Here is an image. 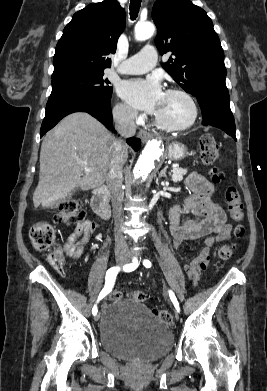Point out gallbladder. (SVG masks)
<instances>
[{"label":"gallbladder","instance_id":"1","mask_svg":"<svg viewBox=\"0 0 267 391\" xmlns=\"http://www.w3.org/2000/svg\"><path fill=\"white\" fill-rule=\"evenodd\" d=\"M74 192V191H73ZM73 192H71L67 197H70L72 194H73Z\"/></svg>","mask_w":267,"mask_h":391}]
</instances>
